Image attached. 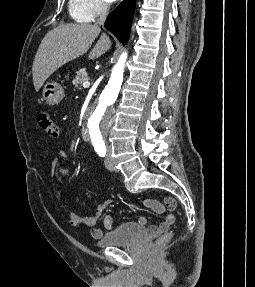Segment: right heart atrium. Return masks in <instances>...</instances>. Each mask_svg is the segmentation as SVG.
<instances>
[{"instance_id": "obj_1", "label": "right heart atrium", "mask_w": 255, "mask_h": 287, "mask_svg": "<svg viewBox=\"0 0 255 287\" xmlns=\"http://www.w3.org/2000/svg\"><path fill=\"white\" fill-rule=\"evenodd\" d=\"M147 33H152V32H147ZM147 39H152V38H147Z\"/></svg>"}]
</instances>
